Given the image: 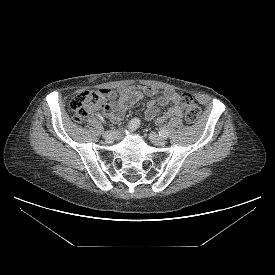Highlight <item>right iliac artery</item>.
Returning <instances> with one entry per match:
<instances>
[{
  "label": "right iliac artery",
  "mask_w": 275,
  "mask_h": 275,
  "mask_svg": "<svg viewBox=\"0 0 275 275\" xmlns=\"http://www.w3.org/2000/svg\"><path fill=\"white\" fill-rule=\"evenodd\" d=\"M97 117L98 119L102 120V122H104V119L101 114H97ZM139 125H140V120L138 118L132 119L128 124V128L126 132L129 133L136 130L139 127Z\"/></svg>",
  "instance_id": "right-iliac-artery-1"
}]
</instances>
